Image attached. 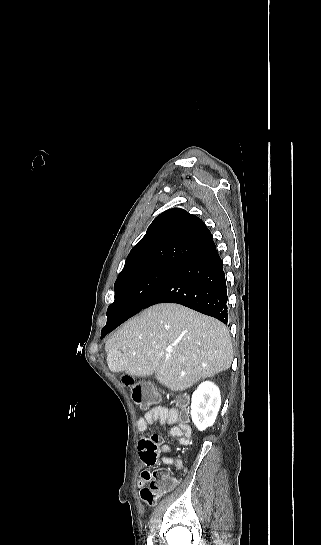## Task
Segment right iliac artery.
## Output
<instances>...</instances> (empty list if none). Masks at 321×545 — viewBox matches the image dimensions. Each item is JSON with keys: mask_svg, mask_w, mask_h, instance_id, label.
<instances>
[{"mask_svg": "<svg viewBox=\"0 0 321 545\" xmlns=\"http://www.w3.org/2000/svg\"><path fill=\"white\" fill-rule=\"evenodd\" d=\"M147 545H153L152 540H151V537H149V538L147 539Z\"/></svg>", "mask_w": 321, "mask_h": 545, "instance_id": "1", "label": "right iliac artery"}]
</instances>
